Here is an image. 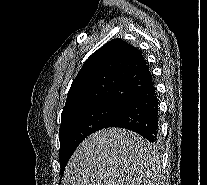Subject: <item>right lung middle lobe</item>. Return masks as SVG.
<instances>
[{"instance_id": "dd1d6c3e", "label": "right lung middle lobe", "mask_w": 207, "mask_h": 185, "mask_svg": "<svg viewBox=\"0 0 207 185\" xmlns=\"http://www.w3.org/2000/svg\"><path fill=\"white\" fill-rule=\"evenodd\" d=\"M121 109L113 105H100L81 110L62 119L59 132L61 175L77 146L90 134L106 128Z\"/></svg>"}]
</instances>
